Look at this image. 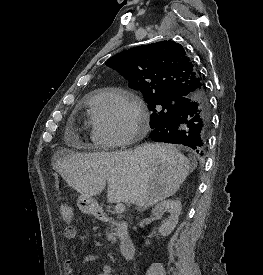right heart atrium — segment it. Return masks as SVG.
I'll return each mask as SVG.
<instances>
[{
    "instance_id": "right-heart-atrium-1",
    "label": "right heart atrium",
    "mask_w": 263,
    "mask_h": 275,
    "mask_svg": "<svg viewBox=\"0 0 263 275\" xmlns=\"http://www.w3.org/2000/svg\"><path fill=\"white\" fill-rule=\"evenodd\" d=\"M93 139L102 146L130 143L146 123L141 102L128 92L104 89L92 98Z\"/></svg>"
}]
</instances>
